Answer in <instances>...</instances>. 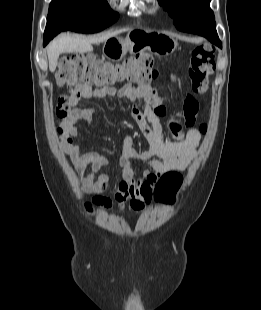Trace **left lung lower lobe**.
<instances>
[{
	"label": "left lung lower lobe",
	"mask_w": 261,
	"mask_h": 310,
	"mask_svg": "<svg viewBox=\"0 0 261 310\" xmlns=\"http://www.w3.org/2000/svg\"><path fill=\"white\" fill-rule=\"evenodd\" d=\"M191 33H195L207 38L210 42L214 43L215 45L221 47V42L218 38L216 32V26L214 22L211 21H203L200 24L196 25L194 28L191 29Z\"/></svg>",
	"instance_id": "1"
}]
</instances>
